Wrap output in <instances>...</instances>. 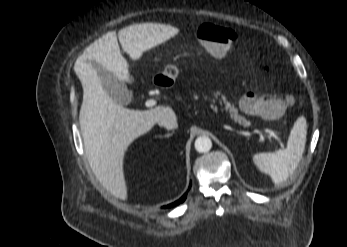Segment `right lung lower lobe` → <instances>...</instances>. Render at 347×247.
Masks as SVG:
<instances>
[{
	"mask_svg": "<svg viewBox=\"0 0 347 247\" xmlns=\"http://www.w3.org/2000/svg\"><path fill=\"white\" fill-rule=\"evenodd\" d=\"M185 199H186V194H184L178 201H176V202H174V203L168 205L167 207L169 208V207L176 206V205H178L179 203H182Z\"/></svg>",
	"mask_w": 347,
	"mask_h": 247,
	"instance_id": "1",
	"label": "right lung lower lobe"
}]
</instances>
